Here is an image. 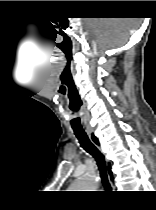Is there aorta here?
I'll return each instance as SVG.
<instances>
[{"label":"aorta","mask_w":156,"mask_h":210,"mask_svg":"<svg viewBox=\"0 0 156 210\" xmlns=\"http://www.w3.org/2000/svg\"><path fill=\"white\" fill-rule=\"evenodd\" d=\"M97 176L94 172H87L72 185L73 189L78 191H88L89 189H95L97 185Z\"/></svg>","instance_id":"1"}]
</instances>
